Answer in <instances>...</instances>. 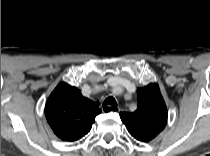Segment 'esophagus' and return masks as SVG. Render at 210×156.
I'll list each match as a JSON object with an SVG mask.
<instances>
[{
    "instance_id": "1",
    "label": "esophagus",
    "mask_w": 210,
    "mask_h": 156,
    "mask_svg": "<svg viewBox=\"0 0 210 156\" xmlns=\"http://www.w3.org/2000/svg\"><path fill=\"white\" fill-rule=\"evenodd\" d=\"M103 112L105 113H109V112H113L114 108L112 106L106 105L102 107ZM117 110H120L119 108H117Z\"/></svg>"
}]
</instances>
